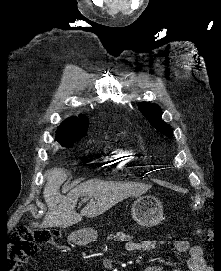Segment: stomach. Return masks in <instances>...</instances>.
I'll list each match as a JSON object with an SVG mask.
<instances>
[{"instance_id": "0dacf381", "label": "stomach", "mask_w": 221, "mask_h": 271, "mask_svg": "<svg viewBox=\"0 0 221 271\" xmlns=\"http://www.w3.org/2000/svg\"><path fill=\"white\" fill-rule=\"evenodd\" d=\"M131 215L138 225H144V227L157 225L162 219L161 202L157 201L155 197H138L132 205ZM72 237L89 238L91 241H96L97 231L90 227L89 230H78V233H73Z\"/></svg>"}]
</instances>
